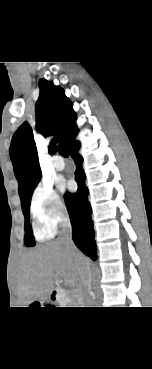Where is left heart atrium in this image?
<instances>
[{
    "mask_svg": "<svg viewBox=\"0 0 152 369\" xmlns=\"http://www.w3.org/2000/svg\"><path fill=\"white\" fill-rule=\"evenodd\" d=\"M61 189H65L67 187V184L65 182H62L61 185H60Z\"/></svg>",
    "mask_w": 152,
    "mask_h": 369,
    "instance_id": "left-heart-atrium-1",
    "label": "left heart atrium"
}]
</instances>
